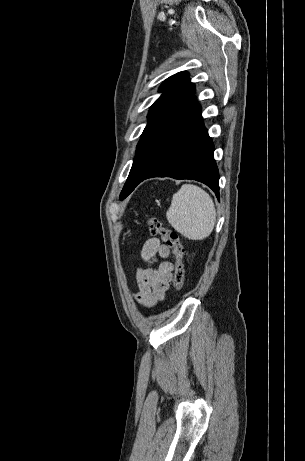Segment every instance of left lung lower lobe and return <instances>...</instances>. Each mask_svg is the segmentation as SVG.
<instances>
[{
  "mask_svg": "<svg viewBox=\"0 0 305 461\" xmlns=\"http://www.w3.org/2000/svg\"><path fill=\"white\" fill-rule=\"evenodd\" d=\"M193 94L194 91L155 133L150 166L135 187L152 177L192 179L208 185L219 198L214 146Z\"/></svg>",
  "mask_w": 305,
  "mask_h": 461,
  "instance_id": "left-lung-lower-lobe-1",
  "label": "left lung lower lobe"
}]
</instances>
